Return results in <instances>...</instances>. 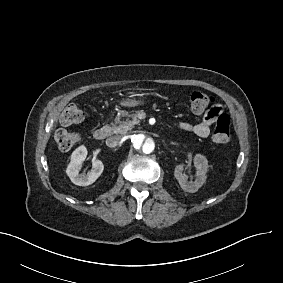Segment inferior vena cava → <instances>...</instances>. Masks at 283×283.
<instances>
[{"label":"inferior vena cava","instance_id":"inferior-vena-cava-1","mask_svg":"<svg viewBox=\"0 0 283 283\" xmlns=\"http://www.w3.org/2000/svg\"><path fill=\"white\" fill-rule=\"evenodd\" d=\"M122 142L121 136H112L106 140V145L109 147H116Z\"/></svg>","mask_w":283,"mask_h":283}]
</instances>
